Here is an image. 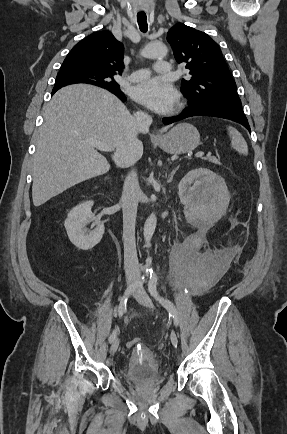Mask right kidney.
<instances>
[{
    "label": "right kidney",
    "mask_w": 287,
    "mask_h": 434,
    "mask_svg": "<svg viewBox=\"0 0 287 434\" xmlns=\"http://www.w3.org/2000/svg\"><path fill=\"white\" fill-rule=\"evenodd\" d=\"M93 204V201H86L77 205L69 212L64 223L69 240L81 250L92 249L104 234V225L92 214ZM89 222H92L91 228L95 227L91 231L86 229Z\"/></svg>",
    "instance_id": "obj_1"
}]
</instances>
